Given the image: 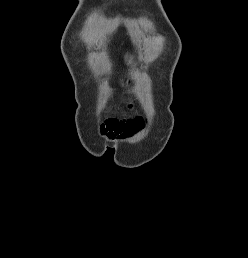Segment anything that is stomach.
<instances>
[{"instance_id": "obj_1", "label": "stomach", "mask_w": 248, "mask_h": 258, "mask_svg": "<svg viewBox=\"0 0 248 258\" xmlns=\"http://www.w3.org/2000/svg\"><path fill=\"white\" fill-rule=\"evenodd\" d=\"M124 62L128 67H135L137 63L136 55L132 53L127 54L124 58Z\"/></svg>"}]
</instances>
